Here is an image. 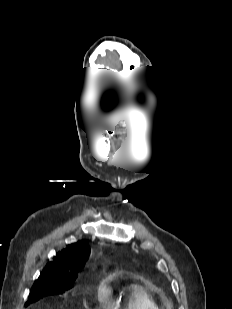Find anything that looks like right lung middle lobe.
Listing matches in <instances>:
<instances>
[{"instance_id": "1", "label": "right lung middle lobe", "mask_w": 232, "mask_h": 309, "mask_svg": "<svg viewBox=\"0 0 232 309\" xmlns=\"http://www.w3.org/2000/svg\"><path fill=\"white\" fill-rule=\"evenodd\" d=\"M72 282L73 281H52L47 279L35 281L25 305L28 306L31 303H35L47 295L63 293L65 290L70 289Z\"/></svg>"}]
</instances>
